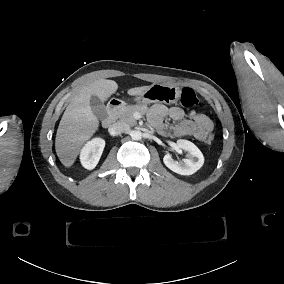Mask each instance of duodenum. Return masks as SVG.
I'll return each instance as SVG.
<instances>
[{
    "label": "duodenum",
    "mask_w": 284,
    "mask_h": 284,
    "mask_svg": "<svg viewBox=\"0 0 284 284\" xmlns=\"http://www.w3.org/2000/svg\"><path fill=\"white\" fill-rule=\"evenodd\" d=\"M122 107L121 100H112L109 102L108 109L101 119V124L104 128H107L112 125L115 120L116 113Z\"/></svg>",
    "instance_id": "410a0bca"
}]
</instances>
